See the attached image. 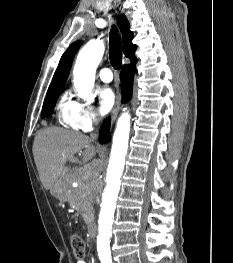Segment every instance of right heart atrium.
Instances as JSON below:
<instances>
[{
	"label": "right heart atrium",
	"instance_id": "1",
	"mask_svg": "<svg viewBox=\"0 0 233 263\" xmlns=\"http://www.w3.org/2000/svg\"><path fill=\"white\" fill-rule=\"evenodd\" d=\"M72 122L73 128L87 132L98 122V115L90 104L77 102Z\"/></svg>",
	"mask_w": 233,
	"mask_h": 263
}]
</instances>
